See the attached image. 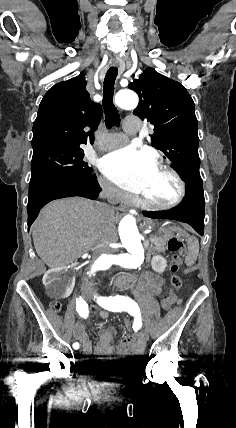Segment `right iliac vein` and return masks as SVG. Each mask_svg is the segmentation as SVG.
Returning a JSON list of instances; mask_svg holds the SVG:
<instances>
[{
    "label": "right iliac vein",
    "instance_id": "obj_1",
    "mask_svg": "<svg viewBox=\"0 0 236 428\" xmlns=\"http://www.w3.org/2000/svg\"><path fill=\"white\" fill-rule=\"evenodd\" d=\"M88 299H93V297H92V296H89V297H88ZM79 343H80V346H83V339H80V342H79Z\"/></svg>",
    "mask_w": 236,
    "mask_h": 428
}]
</instances>
